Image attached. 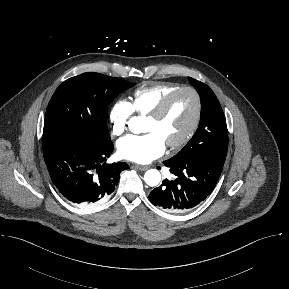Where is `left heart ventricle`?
<instances>
[{"instance_id": "1", "label": "left heart ventricle", "mask_w": 289, "mask_h": 289, "mask_svg": "<svg viewBox=\"0 0 289 289\" xmlns=\"http://www.w3.org/2000/svg\"><path fill=\"white\" fill-rule=\"evenodd\" d=\"M196 110L192 93L184 91L175 96L167 112L159 120L147 118L145 132L156 133L167 145L179 140L189 129Z\"/></svg>"}]
</instances>
